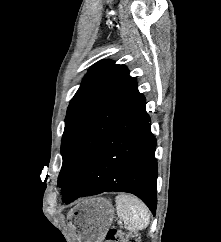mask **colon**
I'll return each mask as SVG.
<instances>
[{"label": "colon", "instance_id": "5ec220e1", "mask_svg": "<svg viewBox=\"0 0 221 242\" xmlns=\"http://www.w3.org/2000/svg\"><path fill=\"white\" fill-rule=\"evenodd\" d=\"M105 242H140V237L136 232L112 228L108 230Z\"/></svg>", "mask_w": 221, "mask_h": 242}]
</instances>
